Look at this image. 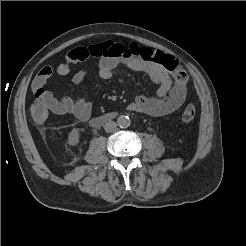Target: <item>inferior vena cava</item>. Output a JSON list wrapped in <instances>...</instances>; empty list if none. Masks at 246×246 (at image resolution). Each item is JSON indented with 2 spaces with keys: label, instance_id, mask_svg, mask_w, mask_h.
<instances>
[{
  "label": "inferior vena cava",
  "instance_id": "1",
  "mask_svg": "<svg viewBox=\"0 0 246 246\" xmlns=\"http://www.w3.org/2000/svg\"><path fill=\"white\" fill-rule=\"evenodd\" d=\"M117 124L114 121H108L104 124V129L106 132H113L116 130Z\"/></svg>",
  "mask_w": 246,
  "mask_h": 246
}]
</instances>
